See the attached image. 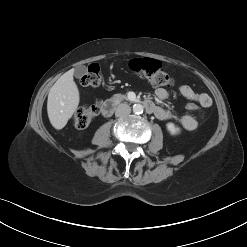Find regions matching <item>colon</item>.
I'll list each match as a JSON object with an SVG mask.
<instances>
[{
    "instance_id": "1",
    "label": "colon",
    "mask_w": 247,
    "mask_h": 247,
    "mask_svg": "<svg viewBox=\"0 0 247 247\" xmlns=\"http://www.w3.org/2000/svg\"><path fill=\"white\" fill-rule=\"evenodd\" d=\"M130 70L141 78L147 79L157 87H167L173 84V78L163 69L162 64L153 58H136L129 63ZM102 77L100 67L92 63L87 67L86 73L81 78V83L87 87H97L101 84ZM188 110H197L195 103H187ZM99 106L91 104L79 108L74 115V125L77 128L87 127L97 116Z\"/></svg>"
}]
</instances>
